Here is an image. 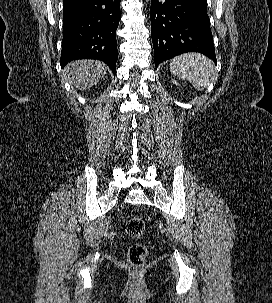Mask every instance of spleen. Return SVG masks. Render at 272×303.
<instances>
[{
  "mask_svg": "<svg viewBox=\"0 0 272 303\" xmlns=\"http://www.w3.org/2000/svg\"><path fill=\"white\" fill-rule=\"evenodd\" d=\"M170 71L189 81L198 90H204L215 77L213 62L199 53H186L170 61Z\"/></svg>",
  "mask_w": 272,
  "mask_h": 303,
  "instance_id": "1",
  "label": "spleen"
}]
</instances>
